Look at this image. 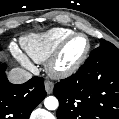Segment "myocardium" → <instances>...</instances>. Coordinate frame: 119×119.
Here are the masks:
<instances>
[{"label":"myocardium","instance_id":"obj_1","mask_svg":"<svg viewBox=\"0 0 119 119\" xmlns=\"http://www.w3.org/2000/svg\"><path fill=\"white\" fill-rule=\"evenodd\" d=\"M83 37L86 40V49L83 53V55L72 65L70 66H61L59 64L62 52L66 45L75 37ZM91 51V42L89 38L83 34L78 32H73L67 37H65L56 47V49L53 51L51 56L48 58L46 63V70L48 74L54 78H64L69 77L73 74H75L82 65L86 62L87 58L89 57Z\"/></svg>","mask_w":119,"mask_h":119}]
</instances>
